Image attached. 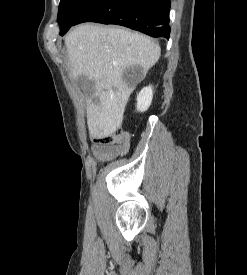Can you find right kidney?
<instances>
[{
    "instance_id": "right-kidney-1",
    "label": "right kidney",
    "mask_w": 247,
    "mask_h": 275,
    "mask_svg": "<svg viewBox=\"0 0 247 275\" xmlns=\"http://www.w3.org/2000/svg\"><path fill=\"white\" fill-rule=\"evenodd\" d=\"M153 88L152 86L144 87L137 95V111H146L152 102Z\"/></svg>"
}]
</instances>
